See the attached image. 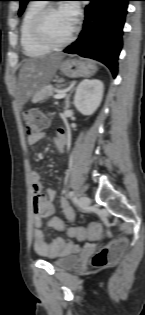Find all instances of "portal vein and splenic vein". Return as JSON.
I'll return each mask as SVG.
<instances>
[{"instance_id": "18ae733b", "label": "portal vein and splenic vein", "mask_w": 145, "mask_h": 315, "mask_svg": "<svg viewBox=\"0 0 145 315\" xmlns=\"http://www.w3.org/2000/svg\"><path fill=\"white\" fill-rule=\"evenodd\" d=\"M66 96V92H63V93H58L56 95H54L53 97L55 99H61V98H64Z\"/></svg>"}]
</instances>
